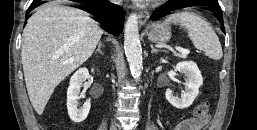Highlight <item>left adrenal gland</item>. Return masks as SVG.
Wrapping results in <instances>:
<instances>
[{
  "label": "left adrenal gland",
  "instance_id": "1",
  "mask_svg": "<svg viewBox=\"0 0 257 130\" xmlns=\"http://www.w3.org/2000/svg\"><path fill=\"white\" fill-rule=\"evenodd\" d=\"M151 47V53H157V52H165V50H159L153 47V45L150 46Z\"/></svg>",
  "mask_w": 257,
  "mask_h": 130
}]
</instances>
